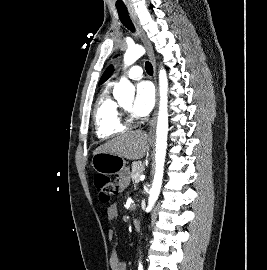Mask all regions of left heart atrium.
<instances>
[{
    "label": "left heart atrium",
    "mask_w": 267,
    "mask_h": 270,
    "mask_svg": "<svg viewBox=\"0 0 267 270\" xmlns=\"http://www.w3.org/2000/svg\"><path fill=\"white\" fill-rule=\"evenodd\" d=\"M155 92L152 84L142 81L136 86V95L132 105V111L137 116L147 115L153 108Z\"/></svg>",
    "instance_id": "left-heart-atrium-1"
}]
</instances>
